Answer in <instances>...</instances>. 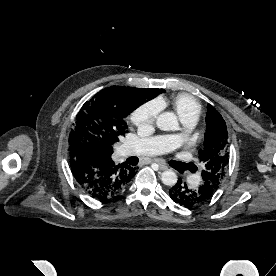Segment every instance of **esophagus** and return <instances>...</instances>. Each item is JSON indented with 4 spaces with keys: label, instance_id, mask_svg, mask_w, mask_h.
Masks as SVG:
<instances>
[{
    "label": "esophagus",
    "instance_id": "34e87169",
    "mask_svg": "<svg viewBox=\"0 0 276 276\" xmlns=\"http://www.w3.org/2000/svg\"><path fill=\"white\" fill-rule=\"evenodd\" d=\"M151 162H154V163L158 164L160 170H167L168 169V166L162 160L153 159V160H151Z\"/></svg>",
    "mask_w": 276,
    "mask_h": 276
}]
</instances>
